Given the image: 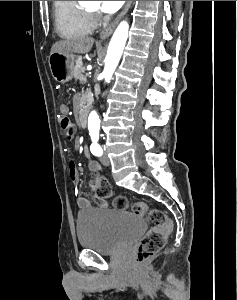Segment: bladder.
Returning <instances> with one entry per match:
<instances>
[{
  "instance_id": "obj_1",
  "label": "bladder",
  "mask_w": 237,
  "mask_h": 300,
  "mask_svg": "<svg viewBox=\"0 0 237 300\" xmlns=\"http://www.w3.org/2000/svg\"><path fill=\"white\" fill-rule=\"evenodd\" d=\"M145 229L143 219L124 210L82 212L76 235L82 248L99 254H117L132 245Z\"/></svg>"
}]
</instances>
